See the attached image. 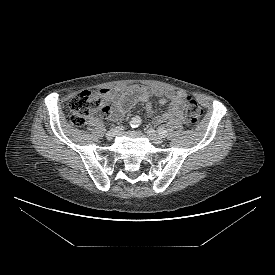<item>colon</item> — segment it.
<instances>
[{"label":"colon","instance_id":"colon-1","mask_svg":"<svg viewBox=\"0 0 275 275\" xmlns=\"http://www.w3.org/2000/svg\"><path fill=\"white\" fill-rule=\"evenodd\" d=\"M186 121L188 124L196 125L202 117V109L195 99L185 97ZM106 102L101 93L82 91L75 95L69 102L71 112L70 120L74 126L81 127L87 118L94 112L104 111Z\"/></svg>","mask_w":275,"mask_h":275}]
</instances>
